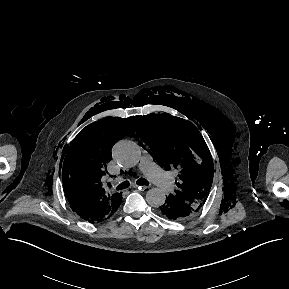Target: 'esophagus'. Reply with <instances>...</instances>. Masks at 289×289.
I'll list each match as a JSON object with an SVG mask.
<instances>
[{
    "label": "esophagus",
    "mask_w": 289,
    "mask_h": 289,
    "mask_svg": "<svg viewBox=\"0 0 289 289\" xmlns=\"http://www.w3.org/2000/svg\"><path fill=\"white\" fill-rule=\"evenodd\" d=\"M132 188H138L139 190L145 191L149 188V186L133 185Z\"/></svg>",
    "instance_id": "34e87169"
}]
</instances>
